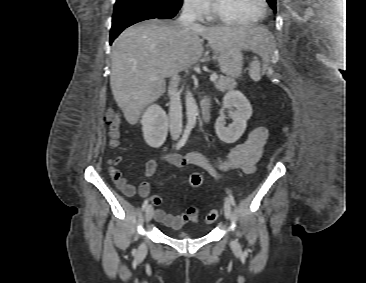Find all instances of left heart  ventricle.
Here are the masks:
<instances>
[{
	"label": "left heart ventricle",
	"mask_w": 366,
	"mask_h": 283,
	"mask_svg": "<svg viewBox=\"0 0 366 283\" xmlns=\"http://www.w3.org/2000/svg\"><path fill=\"white\" fill-rule=\"evenodd\" d=\"M220 6L231 16L250 21L262 13L261 0H218Z\"/></svg>",
	"instance_id": "left-heart-ventricle-1"
}]
</instances>
